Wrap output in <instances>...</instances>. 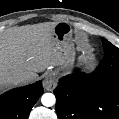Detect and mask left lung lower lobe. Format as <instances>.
Listing matches in <instances>:
<instances>
[{"label": "left lung lower lobe", "instance_id": "obj_1", "mask_svg": "<svg viewBox=\"0 0 119 119\" xmlns=\"http://www.w3.org/2000/svg\"><path fill=\"white\" fill-rule=\"evenodd\" d=\"M102 42L105 55L94 72L59 80L54 94L60 119H119V48Z\"/></svg>", "mask_w": 119, "mask_h": 119}]
</instances>
